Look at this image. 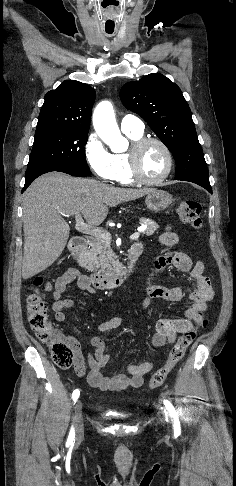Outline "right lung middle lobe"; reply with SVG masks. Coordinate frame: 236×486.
Instances as JSON below:
<instances>
[{"label":"right lung middle lobe","instance_id":"dd1d6c3e","mask_svg":"<svg viewBox=\"0 0 236 486\" xmlns=\"http://www.w3.org/2000/svg\"><path fill=\"white\" fill-rule=\"evenodd\" d=\"M88 131L60 128L36 129L27 168L37 165L89 169L85 159Z\"/></svg>","mask_w":236,"mask_h":486}]
</instances>
